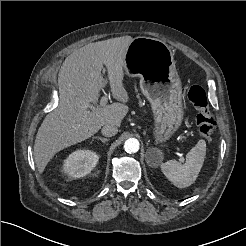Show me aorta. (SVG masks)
I'll return each mask as SVG.
<instances>
[{
  "label": "aorta",
  "mask_w": 246,
  "mask_h": 246,
  "mask_svg": "<svg viewBox=\"0 0 246 246\" xmlns=\"http://www.w3.org/2000/svg\"><path fill=\"white\" fill-rule=\"evenodd\" d=\"M139 141L135 138H129L124 143V149L127 153H136L139 150Z\"/></svg>",
  "instance_id": "obj_1"
}]
</instances>
